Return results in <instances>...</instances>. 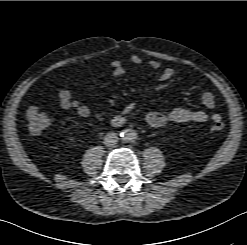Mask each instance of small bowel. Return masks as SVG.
Segmentation results:
<instances>
[{"instance_id": "c3829d8e", "label": "small bowel", "mask_w": 247, "mask_h": 245, "mask_svg": "<svg viewBox=\"0 0 247 245\" xmlns=\"http://www.w3.org/2000/svg\"><path fill=\"white\" fill-rule=\"evenodd\" d=\"M130 61L134 65H141L143 59L138 55H133ZM149 66L153 69H159L161 64L158 60H150ZM114 76L121 77L126 73V70L121 61L115 60L110 64ZM175 70L172 67H165L160 75L162 81H168L173 78ZM60 105L64 110L72 111L76 116L81 118H88L91 114V110L88 106L81 104L79 101L73 100L72 94L67 89H61L58 92ZM203 105L213 110L216 106V98L212 92H205L202 95ZM137 105L136 100L128 101L122 108L121 114L114 117L113 122L118 123L122 117L131 113ZM221 119L218 113H207L203 110H194L188 108H175L167 112L150 111L146 114L145 120L148 125L154 128H160L168 123H203L208 120L213 122Z\"/></svg>"}]
</instances>
